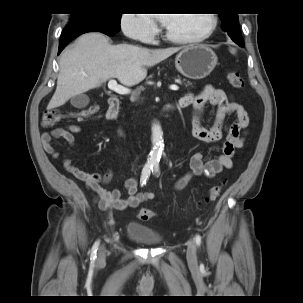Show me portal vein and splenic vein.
I'll return each instance as SVG.
<instances>
[{
	"mask_svg": "<svg viewBox=\"0 0 303 303\" xmlns=\"http://www.w3.org/2000/svg\"><path fill=\"white\" fill-rule=\"evenodd\" d=\"M108 88L110 90L114 91L115 93L121 94V95H126V94H130L131 93V90L129 88L124 87L122 85H119L117 83V81L114 80V79H111L109 81ZM170 89L174 90V91H177L179 89V87L176 84H172V85H170Z\"/></svg>",
	"mask_w": 303,
	"mask_h": 303,
	"instance_id": "1",
	"label": "portal vein and splenic vein"
}]
</instances>
